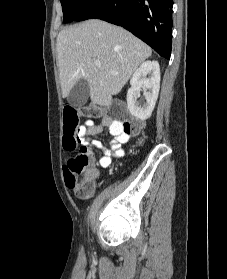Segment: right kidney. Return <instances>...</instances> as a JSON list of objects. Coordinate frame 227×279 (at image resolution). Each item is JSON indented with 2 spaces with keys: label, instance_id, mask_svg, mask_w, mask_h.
Returning a JSON list of instances; mask_svg holds the SVG:
<instances>
[{
  "label": "right kidney",
  "instance_id": "ca27d5eb",
  "mask_svg": "<svg viewBox=\"0 0 227 279\" xmlns=\"http://www.w3.org/2000/svg\"><path fill=\"white\" fill-rule=\"evenodd\" d=\"M131 88L127 92V105L130 113L141 119H148L155 107L160 88V67L157 61H145L134 72L130 80ZM145 87L146 103L141 106L137 103L140 90Z\"/></svg>",
  "mask_w": 227,
  "mask_h": 279
}]
</instances>
